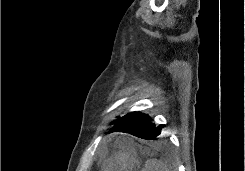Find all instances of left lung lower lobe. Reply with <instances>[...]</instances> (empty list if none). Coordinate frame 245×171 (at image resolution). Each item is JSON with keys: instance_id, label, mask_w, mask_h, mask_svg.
<instances>
[{"instance_id": "left-lung-lower-lobe-1", "label": "left lung lower lobe", "mask_w": 245, "mask_h": 171, "mask_svg": "<svg viewBox=\"0 0 245 171\" xmlns=\"http://www.w3.org/2000/svg\"><path fill=\"white\" fill-rule=\"evenodd\" d=\"M161 129L160 125L155 126L147 114L134 111L121 117L109 130V133L125 132L142 139L156 140Z\"/></svg>"}]
</instances>
